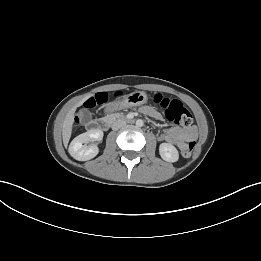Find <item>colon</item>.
<instances>
[{
  "label": "colon",
  "mask_w": 261,
  "mask_h": 261,
  "mask_svg": "<svg viewBox=\"0 0 261 261\" xmlns=\"http://www.w3.org/2000/svg\"><path fill=\"white\" fill-rule=\"evenodd\" d=\"M108 100V95L105 93L97 94L95 97L88 99L85 103L87 108H94ZM154 102L165 111L166 118L183 127H189L193 123V118L185 106L178 100H171L163 97L161 94L154 96ZM78 122V120H77ZM196 142L190 141L181 151L184 157H190L195 149Z\"/></svg>",
  "instance_id": "5ec220e1"
}]
</instances>
